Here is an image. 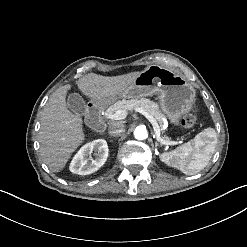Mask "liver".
Returning a JSON list of instances; mask_svg holds the SVG:
<instances>
[{
	"instance_id": "6515ba94",
	"label": "liver",
	"mask_w": 247,
	"mask_h": 247,
	"mask_svg": "<svg viewBox=\"0 0 247 247\" xmlns=\"http://www.w3.org/2000/svg\"><path fill=\"white\" fill-rule=\"evenodd\" d=\"M139 74L133 72L104 77L88 73L79 78L77 84L85 94L100 100L105 95L119 94L131 86ZM67 89V85L59 87L49 98L41 114L40 153L51 171L61 169L83 139L81 118L71 113L66 106Z\"/></svg>"
}]
</instances>
